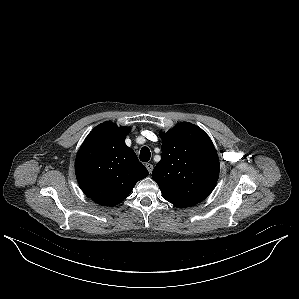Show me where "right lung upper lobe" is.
<instances>
[{"label": "right lung upper lobe", "instance_id": "right-lung-upper-lobe-1", "mask_svg": "<svg viewBox=\"0 0 299 299\" xmlns=\"http://www.w3.org/2000/svg\"><path fill=\"white\" fill-rule=\"evenodd\" d=\"M128 132L127 127L101 123L89 133L78 151L77 181L86 196L100 205L120 203L148 175L135 152L125 144Z\"/></svg>", "mask_w": 299, "mask_h": 299}]
</instances>
